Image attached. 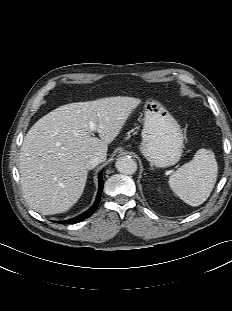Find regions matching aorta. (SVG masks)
<instances>
[{"mask_svg": "<svg viewBox=\"0 0 232 311\" xmlns=\"http://www.w3.org/2000/svg\"><path fill=\"white\" fill-rule=\"evenodd\" d=\"M115 166L120 173L127 175L134 174L137 170V163L130 156H122L118 158Z\"/></svg>", "mask_w": 232, "mask_h": 311, "instance_id": "1", "label": "aorta"}]
</instances>
